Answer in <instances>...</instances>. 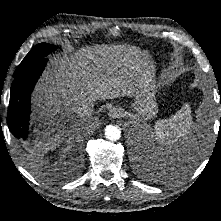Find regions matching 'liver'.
<instances>
[{
	"label": "liver",
	"instance_id": "6515ba94",
	"mask_svg": "<svg viewBox=\"0 0 221 221\" xmlns=\"http://www.w3.org/2000/svg\"><path fill=\"white\" fill-rule=\"evenodd\" d=\"M143 56L139 47L129 45L83 47L69 57L56 55L53 69L45 73L36 88L38 116L34 118L49 125L43 132L47 141L38 140L36 150L46 153L57 145L59 135L50 137L54 128L49 127L58 126L60 117L74 112L79 100L95 102L131 96Z\"/></svg>",
	"mask_w": 221,
	"mask_h": 221
}]
</instances>
